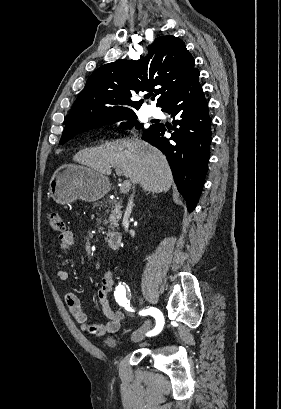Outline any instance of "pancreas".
<instances>
[{
  "label": "pancreas",
  "mask_w": 281,
  "mask_h": 409,
  "mask_svg": "<svg viewBox=\"0 0 281 409\" xmlns=\"http://www.w3.org/2000/svg\"><path fill=\"white\" fill-rule=\"evenodd\" d=\"M121 213L122 211L120 202H117V200H115L114 209H112L108 219V221H110L111 223L109 229H114V227H118V219H120Z\"/></svg>",
  "instance_id": "obj_1"
}]
</instances>
